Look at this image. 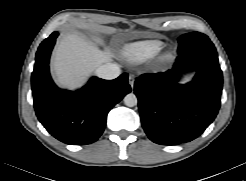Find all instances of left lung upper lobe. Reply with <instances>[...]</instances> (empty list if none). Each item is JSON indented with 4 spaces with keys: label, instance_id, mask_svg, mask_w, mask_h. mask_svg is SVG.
<instances>
[{
    "label": "left lung upper lobe",
    "instance_id": "left-lung-upper-lobe-1",
    "mask_svg": "<svg viewBox=\"0 0 246 181\" xmlns=\"http://www.w3.org/2000/svg\"><path fill=\"white\" fill-rule=\"evenodd\" d=\"M208 42H210V39L202 33H199V32L187 33V34L182 35L178 39V43H179L178 51L186 50L188 48L196 47L201 44L208 43Z\"/></svg>",
    "mask_w": 246,
    "mask_h": 181
}]
</instances>
